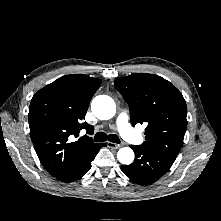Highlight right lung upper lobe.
<instances>
[{"instance_id": "right-lung-upper-lobe-1", "label": "right lung upper lobe", "mask_w": 221, "mask_h": 221, "mask_svg": "<svg viewBox=\"0 0 221 221\" xmlns=\"http://www.w3.org/2000/svg\"><path fill=\"white\" fill-rule=\"evenodd\" d=\"M101 80L83 74L63 76L34 94L29 108L32 142L44 168L53 176L82 161L99 143L81 129L93 132L83 122Z\"/></svg>"}]
</instances>
